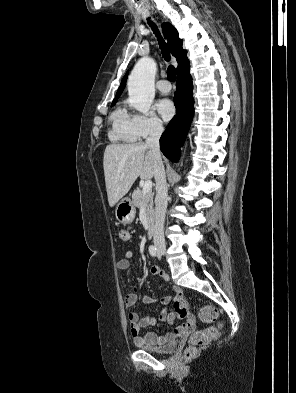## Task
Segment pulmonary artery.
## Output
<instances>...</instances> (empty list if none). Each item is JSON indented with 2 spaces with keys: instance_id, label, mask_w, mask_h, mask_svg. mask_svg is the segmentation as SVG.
Returning a JSON list of instances; mask_svg holds the SVG:
<instances>
[{
  "instance_id": "e3ab8cb5",
  "label": "pulmonary artery",
  "mask_w": 296,
  "mask_h": 393,
  "mask_svg": "<svg viewBox=\"0 0 296 393\" xmlns=\"http://www.w3.org/2000/svg\"><path fill=\"white\" fill-rule=\"evenodd\" d=\"M156 86H157V89L164 94H167L171 91V84L166 79L159 80L157 82Z\"/></svg>"
}]
</instances>
